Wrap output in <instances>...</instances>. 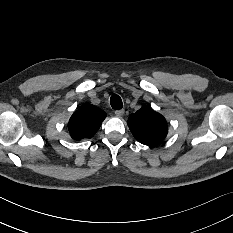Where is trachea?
<instances>
[{"label":"trachea","instance_id":"obj_1","mask_svg":"<svg viewBox=\"0 0 233 233\" xmlns=\"http://www.w3.org/2000/svg\"><path fill=\"white\" fill-rule=\"evenodd\" d=\"M110 104H111L113 109H121L123 107V103H122L121 98L116 94L111 96Z\"/></svg>","mask_w":233,"mask_h":233}]
</instances>
